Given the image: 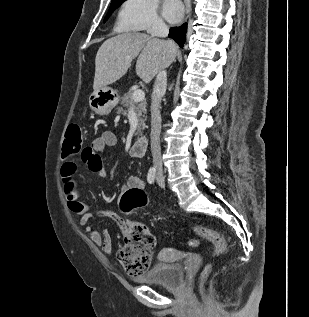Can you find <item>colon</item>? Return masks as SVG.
I'll return each instance as SVG.
<instances>
[{"label":"colon","instance_id":"5ec220e1","mask_svg":"<svg viewBox=\"0 0 309 317\" xmlns=\"http://www.w3.org/2000/svg\"><path fill=\"white\" fill-rule=\"evenodd\" d=\"M86 148H82V132L77 124H71L66 131V138L63 147L65 161L79 154L83 155ZM148 203V198L144 190L131 189L121 197V209L129 213L135 209L142 208ZM193 232L202 239L213 244V255L222 254L227 247L225 237L216 230L193 226ZM124 246L118 251V258L125 271L132 276L140 275L147 271L150 266L155 246V238L149 229L141 223H132L124 233ZM191 247H197L199 241L192 239L188 242ZM211 271V265L207 264L200 277V290L204 291V283Z\"/></svg>","mask_w":309,"mask_h":317}]
</instances>
